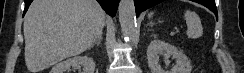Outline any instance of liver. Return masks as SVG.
<instances>
[{"label": "liver", "instance_id": "obj_1", "mask_svg": "<svg viewBox=\"0 0 244 73\" xmlns=\"http://www.w3.org/2000/svg\"><path fill=\"white\" fill-rule=\"evenodd\" d=\"M104 25L105 13L95 0H34L23 25L27 69L38 73L81 54Z\"/></svg>", "mask_w": 244, "mask_h": 73}]
</instances>
